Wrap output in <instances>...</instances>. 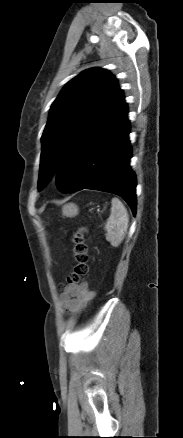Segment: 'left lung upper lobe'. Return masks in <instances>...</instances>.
<instances>
[{
    "mask_svg": "<svg viewBox=\"0 0 183 438\" xmlns=\"http://www.w3.org/2000/svg\"><path fill=\"white\" fill-rule=\"evenodd\" d=\"M124 104L117 79L104 69L86 70L65 85L42 134L39 190L74 148Z\"/></svg>",
    "mask_w": 183,
    "mask_h": 438,
    "instance_id": "obj_1",
    "label": "left lung upper lobe"
}]
</instances>
